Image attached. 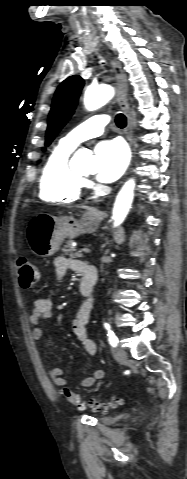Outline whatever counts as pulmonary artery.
Segmentation results:
<instances>
[{
  "mask_svg": "<svg viewBox=\"0 0 187 479\" xmlns=\"http://www.w3.org/2000/svg\"><path fill=\"white\" fill-rule=\"evenodd\" d=\"M109 121L110 118L106 114L94 115L68 132L61 141L65 145L75 148L81 142L101 135Z\"/></svg>",
  "mask_w": 187,
  "mask_h": 479,
  "instance_id": "obj_1",
  "label": "pulmonary artery"
}]
</instances>
